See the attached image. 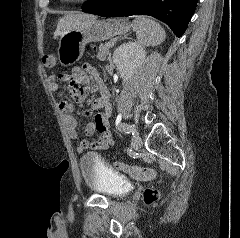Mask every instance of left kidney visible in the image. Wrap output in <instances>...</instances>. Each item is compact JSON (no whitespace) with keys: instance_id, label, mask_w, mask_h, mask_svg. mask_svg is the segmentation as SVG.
I'll list each match as a JSON object with an SVG mask.
<instances>
[{"instance_id":"obj_1","label":"left kidney","mask_w":240,"mask_h":238,"mask_svg":"<svg viewBox=\"0 0 240 238\" xmlns=\"http://www.w3.org/2000/svg\"><path fill=\"white\" fill-rule=\"evenodd\" d=\"M145 50L138 42H125L113 53V63L116 65L123 82L127 81L145 59Z\"/></svg>"}]
</instances>
